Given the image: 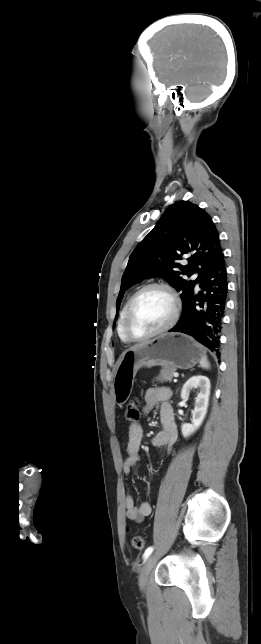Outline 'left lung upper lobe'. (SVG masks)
Returning a JSON list of instances; mask_svg holds the SVG:
<instances>
[{
  "instance_id": "left-lung-upper-lobe-1",
  "label": "left lung upper lobe",
  "mask_w": 261,
  "mask_h": 644,
  "mask_svg": "<svg viewBox=\"0 0 261 644\" xmlns=\"http://www.w3.org/2000/svg\"><path fill=\"white\" fill-rule=\"evenodd\" d=\"M222 251L219 233L208 213L188 201L169 206L132 252L122 276L117 310L124 292L132 284L151 276H162L181 291L184 309L194 294L196 283ZM182 256L188 257V265L178 263ZM195 272L200 274L195 281L180 277L181 274L190 277Z\"/></svg>"
}]
</instances>
